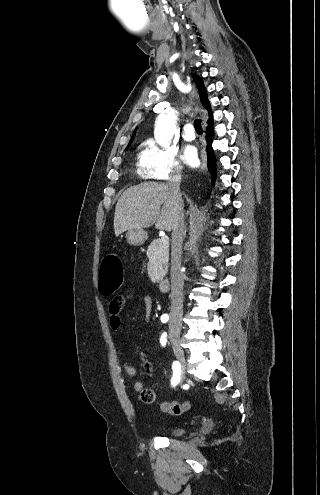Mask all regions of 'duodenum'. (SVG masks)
Listing matches in <instances>:
<instances>
[{"mask_svg": "<svg viewBox=\"0 0 320 495\" xmlns=\"http://www.w3.org/2000/svg\"><path fill=\"white\" fill-rule=\"evenodd\" d=\"M170 286L169 278H163L159 281V289L163 292L167 291Z\"/></svg>", "mask_w": 320, "mask_h": 495, "instance_id": "1", "label": "duodenum"}]
</instances>
